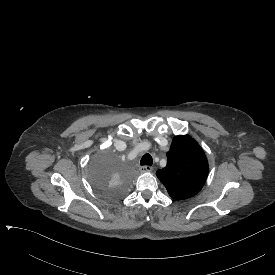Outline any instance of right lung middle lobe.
Wrapping results in <instances>:
<instances>
[{"label": "right lung middle lobe", "mask_w": 275, "mask_h": 275, "mask_svg": "<svg viewBox=\"0 0 275 275\" xmlns=\"http://www.w3.org/2000/svg\"><path fill=\"white\" fill-rule=\"evenodd\" d=\"M94 157L90 180L104 199L117 200L131 190L132 173L125 157L118 150L99 145L94 150Z\"/></svg>", "instance_id": "1"}]
</instances>
